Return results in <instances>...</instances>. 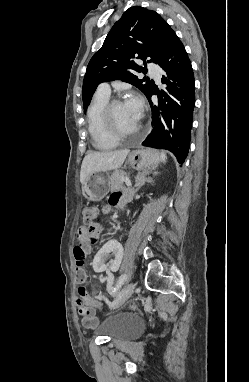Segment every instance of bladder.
I'll list each match as a JSON object with an SVG mask.
<instances>
[{"instance_id":"1","label":"bladder","mask_w":249,"mask_h":382,"mask_svg":"<svg viewBox=\"0 0 249 382\" xmlns=\"http://www.w3.org/2000/svg\"><path fill=\"white\" fill-rule=\"evenodd\" d=\"M144 328L142 319L136 315H118L106 318L96 331L110 339H130L138 335Z\"/></svg>"}]
</instances>
